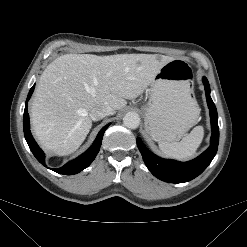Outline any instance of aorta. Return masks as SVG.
<instances>
[{"label": "aorta", "mask_w": 247, "mask_h": 247, "mask_svg": "<svg viewBox=\"0 0 247 247\" xmlns=\"http://www.w3.org/2000/svg\"><path fill=\"white\" fill-rule=\"evenodd\" d=\"M123 124L129 129H136L140 124V117L136 112H128L123 117Z\"/></svg>", "instance_id": "1"}]
</instances>
